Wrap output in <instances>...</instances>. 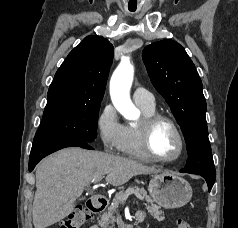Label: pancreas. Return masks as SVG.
<instances>
[{"label": "pancreas", "instance_id": "1", "mask_svg": "<svg viewBox=\"0 0 238 228\" xmlns=\"http://www.w3.org/2000/svg\"><path fill=\"white\" fill-rule=\"evenodd\" d=\"M130 189L135 190L140 193L141 197L146 201V209L148 213L158 221H163L165 219L164 213L159 210V207L153 203V200L147 195V192L143 188L133 186ZM127 191V190H126ZM126 191H120L114 197L111 205L108 207L107 212L103 213L100 220L98 221L99 225L102 228H113L115 224V214L118 211L119 205L124 204L125 201L120 199V196L124 195Z\"/></svg>", "mask_w": 238, "mask_h": 228}]
</instances>
